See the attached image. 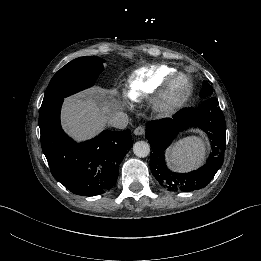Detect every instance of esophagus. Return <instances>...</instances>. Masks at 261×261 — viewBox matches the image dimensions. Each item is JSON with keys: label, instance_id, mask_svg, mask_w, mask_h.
Wrapping results in <instances>:
<instances>
[{"label": "esophagus", "instance_id": "esophagus-1", "mask_svg": "<svg viewBox=\"0 0 261 261\" xmlns=\"http://www.w3.org/2000/svg\"><path fill=\"white\" fill-rule=\"evenodd\" d=\"M144 132H145V129L142 126L136 127L134 130V134L137 136L143 135Z\"/></svg>", "mask_w": 261, "mask_h": 261}]
</instances>
